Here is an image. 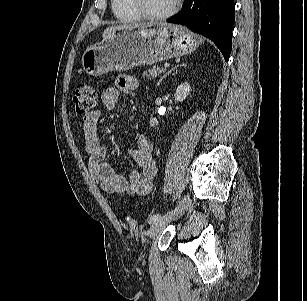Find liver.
<instances>
[{
  "mask_svg": "<svg viewBox=\"0 0 307 301\" xmlns=\"http://www.w3.org/2000/svg\"><path fill=\"white\" fill-rule=\"evenodd\" d=\"M145 24H133V25H119V26H112L109 27L107 29H105L104 33H103V37L107 36L108 34H110L112 31L114 30H118V29H122V28H127V27H140V26H144Z\"/></svg>",
  "mask_w": 307,
  "mask_h": 301,
  "instance_id": "liver-1",
  "label": "liver"
}]
</instances>
